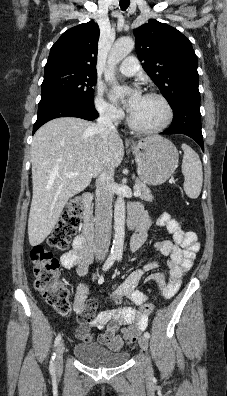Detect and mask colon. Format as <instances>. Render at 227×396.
I'll return each mask as SVG.
<instances>
[{
    "instance_id": "1",
    "label": "colon",
    "mask_w": 227,
    "mask_h": 396,
    "mask_svg": "<svg viewBox=\"0 0 227 396\" xmlns=\"http://www.w3.org/2000/svg\"><path fill=\"white\" fill-rule=\"evenodd\" d=\"M82 198L72 197L67 203L63 215L49 238V245L58 250L68 247L71 238L81 224ZM30 258L33 264L34 285L46 302L61 315L71 311L70 294L60 277V263L50 251L42 245L32 248ZM140 310L149 315L154 306L145 303Z\"/></svg>"
}]
</instances>
